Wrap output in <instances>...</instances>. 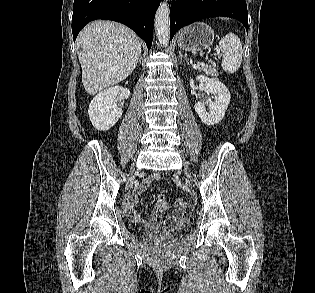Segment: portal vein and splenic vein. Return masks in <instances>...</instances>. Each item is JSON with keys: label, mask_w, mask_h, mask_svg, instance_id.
I'll return each instance as SVG.
<instances>
[{"label": "portal vein and splenic vein", "mask_w": 315, "mask_h": 293, "mask_svg": "<svg viewBox=\"0 0 315 293\" xmlns=\"http://www.w3.org/2000/svg\"><path fill=\"white\" fill-rule=\"evenodd\" d=\"M193 67H194L195 69H197V68H199V65L194 64Z\"/></svg>", "instance_id": "18ae733b"}]
</instances>
